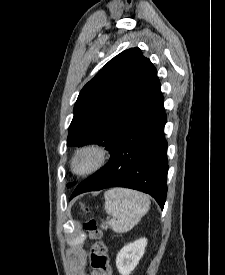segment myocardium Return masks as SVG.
Instances as JSON below:
<instances>
[{
  "instance_id": "myocardium-1",
  "label": "myocardium",
  "mask_w": 225,
  "mask_h": 275,
  "mask_svg": "<svg viewBox=\"0 0 225 275\" xmlns=\"http://www.w3.org/2000/svg\"><path fill=\"white\" fill-rule=\"evenodd\" d=\"M108 160L107 151L98 145L78 148L70 160V168L77 175H88L100 170Z\"/></svg>"
}]
</instances>
